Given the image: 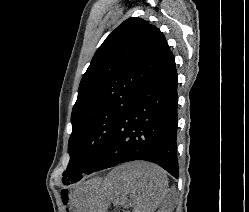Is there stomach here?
Here are the masks:
<instances>
[{"instance_id":"obj_1","label":"stomach","mask_w":249,"mask_h":212,"mask_svg":"<svg viewBox=\"0 0 249 212\" xmlns=\"http://www.w3.org/2000/svg\"><path fill=\"white\" fill-rule=\"evenodd\" d=\"M108 184H112V179L96 178L66 188L62 192V202L68 206L69 212H105L110 210V205H104V201L113 198V193H102L100 189H108Z\"/></svg>"}]
</instances>
